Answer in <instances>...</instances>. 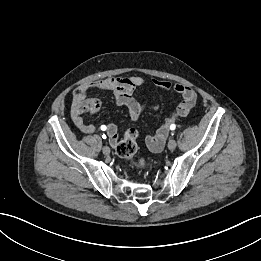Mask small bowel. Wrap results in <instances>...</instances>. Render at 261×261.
<instances>
[{
    "label": "small bowel",
    "mask_w": 261,
    "mask_h": 261,
    "mask_svg": "<svg viewBox=\"0 0 261 261\" xmlns=\"http://www.w3.org/2000/svg\"><path fill=\"white\" fill-rule=\"evenodd\" d=\"M145 81L139 76L130 77H109L102 81L91 82L83 85L79 89V94L74 95L72 120L75 126L84 134H92L95 127L92 123L84 121L78 111V105L82 101H90L88 94L92 91L112 92L118 104L125 106L132 120H137L145 109V105L135 97V91L144 85ZM155 86L164 90H173L182 97V101L177 108V116L185 117L189 114L196 103V93L192 88L181 83H171L166 80L153 79ZM152 109L157 110L158 105H152ZM106 133L112 146L118 143V131L115 124L106 126ZM103 130V131H105ZM169 123L162 124L153 135L146 138L147 146L150 150L158 152L163 149L168 136Z\"/></svg>",
    "instance_id": "obj_1"
}]
</instances>
